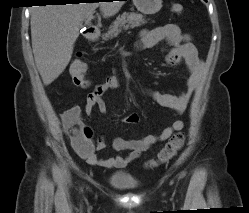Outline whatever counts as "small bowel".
<instances>
[{
    "instance_id": "c3829d8e",
    "label": "small bowel",
    "mask_w": 249,
    "mask_h": 213,
    "mask_svg": "<svg viewBox=\"0 0 249 213\" xmlns=\"http://www.w3.org/2000/svg\"><path fill=\"white\" fill-rule=\"evenodd\" d=\"M165 41L171 46L167 56L170 64L184 62L187 71V80L185 89L179 94L163 93L159 91L146 90L145 95L157 104L172 110L176 115L182 114L198 85L202 61L198 56L197 48L189 34L184 33L176 24H166L152 30H143L140 40L134 45V51L150 49L159 42ZM119 86V78L116 75L109 76L105 81L96 86V88L87 95L84 111L90 114L94 108H97L101 114L106 113V104L104 95ZM82 109L74 106L61 115L63 127L71 135V144L73 149L84 158L90 165L105 168H124L148 151L152 145L169 139L174 132L184 128L185 123L182 120H175L173 123L155 135L126 140L115 138L113 140V149L117 152H125L114 157H101L97 152L104 151L107 148L105 138H97L95 146L92 143L93 130L82 119ZM124 123L135 124L138 122L136 114H130L122 119ZM74 130L75 133L71 134ZM80 136L81 145H77L76 136Z\"/></svg>"
}]
</instances>
